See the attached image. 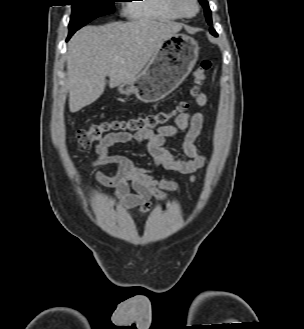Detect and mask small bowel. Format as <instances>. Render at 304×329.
Instances as JSON below:
<instances>
[{
    "label": "small bowel",
    "mask_w": 304,
    "mask_h": 329,
    "mask_svg": "<svg viewBox=\"0 0 304 329\" xmlns=\"http://www.w3.org/2000/svg\"><path fill=\"white\" fill-rule=\"evenodd\" d=\"M200 107L206 105L207 97L200 93L196 97ZM204 124L203 114L196 112L180 113L175 119L159 128L152 134L117 133L103 138L96 146V156L91 161V167L105 164L117 165L116 173L111 176H104L95 172L97 181L106 187H114V198L119 202L123 210L129 211L138 207V213L145 215L152 211L151 199L165 201L168 193L177 189L178 185L171 179H155L152 172L157 168L175 171L189 175L194 181L196 172L206 162V157L199 154L195 144L200 136ZM185 132L182 143V150L189 159H177L166 147V138ZM136 142L144 144L152 157L150 166H139L130 158L122 154H111L109 149L117 144Z\"/></svg>",
    "instance_id": "small-bowel-1"
}]
</instances>
